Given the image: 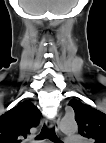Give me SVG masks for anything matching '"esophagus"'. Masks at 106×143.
Instances as JSON below:
<instances>
[{
  "instance_id": "1",
  "label": "esophagus",
  "mask_w": 106,
  "mask_h": 143,
  "mask_svg": "<svg viewBox=\"0 0 106 143\" xmlns=\"http://www.w3.org/2000/svg\"><path fill=\"white\" fill-rule=\"evenodd\" d=\"M58 122H59V115L56 116V118L53 120V121H47V126L48 128L52 129L54 128L56 130V132L59 133V125H58Z\"/></svg>"
}]
</instances>
